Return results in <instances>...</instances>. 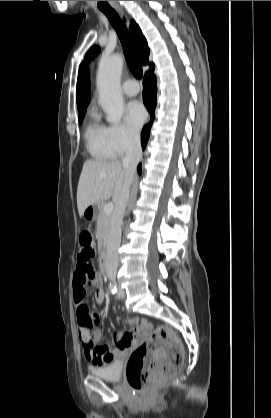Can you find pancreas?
Returning <instances> with one entry per match:
<instances>
[{
  "instance_id": "cf45deb5",
  "label": "pancreas",
  "mask_w": 271,
  "mask_h": 418,
  "mask_svg": "<svg viewBox=\"0 0 271 418\" xmlns=\"http://www.w3.org/2000/svg\"><path fill=\"white\" fill-rule=\"evenodd\" d=\"M111 216L105 214L104 207L100 206L97 217L96 233L98 245L100 248L104 247L108 241L110 231Z\"/></svg>"
}]
</instances>
